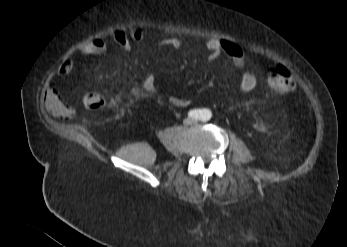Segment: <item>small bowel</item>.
<instances>
[{
	"label": "small bowel",
	"mask_w": 347,
	"mask_h": 247,
	"mask_svg": "<svg viewBox=\"0 0 347 247\" xmlns=\"http://www.w3.org/2000/svg\"><path fill=\"white\" fill-rule=\"evenodd\" d=\"M146 35L139 28H132L128 33L124 30H115L111 34V40L121 47L123 50H129L133 45L143 44ZM162 47L178 49L182 42L176 37H167L159 41ZM205 47L208 51V58L211 61L217 60L221 56H227L235 69L241 70L246 64V57L242 48L229 40L210 38L206 41ZM108 50V43L104 38H94L83 43L78 52L84 56L105 54ZM72 70V62L65 61L59 68V74L65 76ZM257 85L256 76L251 72H245L240 76L239 88L242 92L248 93ZM158 81L153 74H148L143 80V84L138 90H143L150 94L158 92ZM190 99L184 97H171L169 103L177 108L187 107ZM45 104L51 114L61 119L70 118L74 114V110L57 95L53 87H49L46 91Z\"/></svg>",
	"instance_id": "obj_1"
}]
</instances>
